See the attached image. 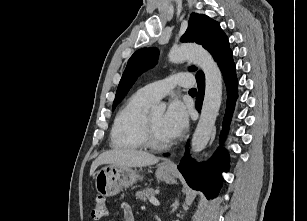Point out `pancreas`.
Wrapping results in <instances>:
<instances>
[{
    "mask_svg": "<svg viewBox=\"0 0 307 221\" xmlns=\"http://www.w3.org/2000/svg\"><path fill=\"white\" fill-rule=\"evenodd\" d=\"M154 196H155V191L153 188H145L144 190L136 193V198L144 202Z\"/></svg>",
    "mask_w": 307,
    "mask_h": 221,
    "instance_id": "1",
    "label": "pancreas"
}]
</instances>
